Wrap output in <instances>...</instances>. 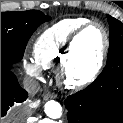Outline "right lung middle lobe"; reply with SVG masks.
<instances>
[{"label":"right lung middle lobe","mask_w":123,"mask_h":123,"mask_svg":"<svg viewBox=\"0 0 123 123\" xmlns=\"http://www.w3.org/2000/svg\"><path fill=\"white\" fill-rule=\"evenodd\" d=\"M49 20L39 10L1 12V68L11 69L19 62L33 32Z\"/></svg>","instance_id":"1"}]
</instances>
